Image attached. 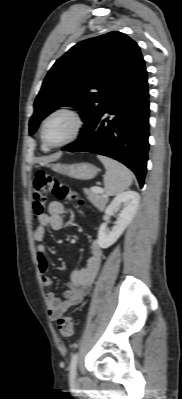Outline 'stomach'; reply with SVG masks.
Here are the masks:
<instances>
[{"mask_svg": "<svg viewBox=\"0 0 182 399\" xmlns=\"http://www.w3.org/2000/svg\"><path fill=\"white\" fill-rule=\"evenodd\" d=\"M51 168L63 175L75 179H92L97 175L98 169L96 166L90 163H74V164H55Z\"/></svg>", "mask_w": 182, "mask_h": 399, "instance_id": "stomach-1", "label": "stomach"}]
</instances>
